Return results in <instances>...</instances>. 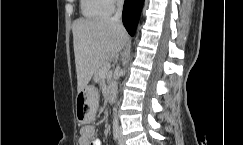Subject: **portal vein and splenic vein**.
I'll list each match as a JSON object with an SVG mask.
<instances>
[{"label":"portal vein and splenic vein","instance_id":"obj_1","mask_svg":"<svg viewBox=\"0 0 243 145\" xmlns=\"http://www.w3.org/2000/svg\"><path fill=\"white\" fill-rule=\"evenodd\" d=\"M110 67H111V64H110V62H108L104 69V72L106 73L110 69Z\"/></svg>","mask_w":243,"mask_h":145}]
</instances>
